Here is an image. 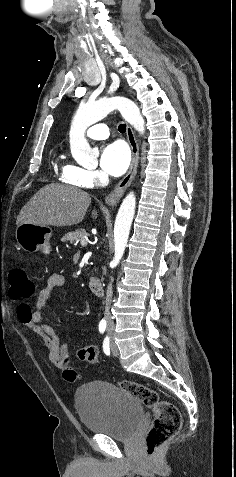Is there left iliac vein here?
Masks as SVG:
<instances>
[{"mask_svg": "<svg viewBox=\"0 0 236 477\" xmlns=\"http://www.w3.org/2000/svg\"><path fill=\"white\" fill-rule=\"evenodd\" d=\"M110 348H111L112 354H113L114 356H117V355H118V347H117V345L115 344V342H114L113 339H111Z\"/></svg>", "mask_w": 236, "mask_h": 477, "instance_id": "left-iliac-vein-1", "label": "left iliac vein"}]
</instances>
